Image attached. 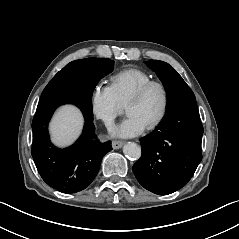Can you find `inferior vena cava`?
I'll return each mask as SVG.
<instances>
[{"label":"inferior vena cava","instance_id":"obj_1","mask_svg":"<svg viewBox=\"0 0 239 239\" xmlns=\"http://www.w3.org/2000/svg\"><path fill=\"white\" fill-rule=\"evenodd\" d=\"M105 126L109 132H112L115 129V123L113 120H107L105 121Z\"/></svg>","mask_w":239,"mask_h":239}]
</instances>
